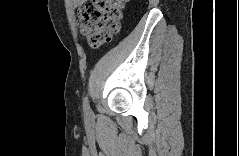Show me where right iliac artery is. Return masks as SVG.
<instances>
[{
    "label": "right iliac artery",
    "instance_id": "obj_1",
    "mask_svg": "<svg viewBox=\"0 0 239 156\" xmlns=\"http://www.w3.org/2000/svg\"><path fill=\"white\" fill-rule=\"evenodd\" d=\"M83 109H84L85 114H89L90 113V107H89V103H88L87 97L84 99Z\"/></svg>",
    "mask_w": 239,
    "mask_h": 156
}]
</instances>
